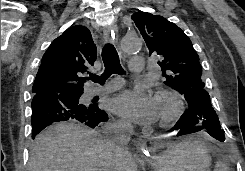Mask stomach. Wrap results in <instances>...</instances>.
<instances>
[{
    "mask_svg": "<svg viewBox=\"0 0 245 171\" xmlns=\"http://www.w3.org/2000/svg\"><path fill=\"white\" fill-rule=\"evenodd\" d=\"M214 148L203 138L171 144L148 160L155 171H209Z\"/></svg>",
    "mask_w": 245,
    "mask_h": 171,
    "instance_id": "stomach-1",
    "label": "stomach"
}]
</instances>
